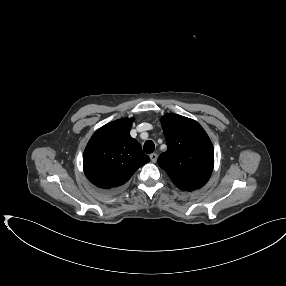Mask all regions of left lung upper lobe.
<instances>
[{
	"label": "left lung upper lobe",
	"instance_id": "5c2ea615",
	"mask_svg": "<svg viewBox=\"0 0 286 286\" xmlns=\"http://www.w3.org/2000/svg\"><path fill=\"white\" fill-rule=\"evenodd\" d=\"M168 149L160 154L159 166L181 190L201 188L214 166L213 145L199 123L177 115L161 118Z\"/></svg>",
	"mask_w": 286,
	"mask_h": 286
}]
</instances>
